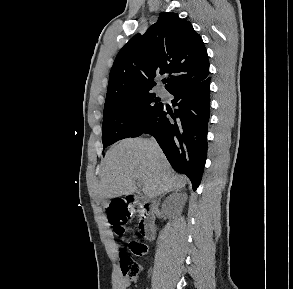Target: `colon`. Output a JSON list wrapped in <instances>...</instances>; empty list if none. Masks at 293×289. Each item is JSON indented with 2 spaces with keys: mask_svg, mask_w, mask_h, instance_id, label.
I'll return each instance as SVG.
<instances>
[{
  "mask_svg": "<svg viewBox=\"0 0 293 289\" xmlns=\"http://www.w3.org/2000/svg\"><path fill=\"white\" fill-rule=\"evenodd\" d=\"M135 212V208L127 207L122 202H113L108 212V218L114 231L123 236L126 232L125 222L129 216ZM146 245L138 241H129L127 251L120 252V262L124 275L129 279H134L140 273V265L133 260L132 256L140 257L146 253Z\"/></svg>",
  "mask_w": 293,
  "mask_h": 289,
  "instance_id": "5ec220e1",
  "label": "colon"
}]
</instances>
